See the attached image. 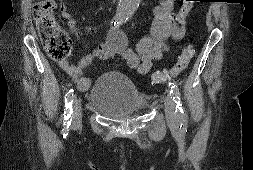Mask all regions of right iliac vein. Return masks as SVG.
<instances>
[{"instance_id": "1", "label": "right iliac vein", "mask_w": 253, "mask_h": 170, "mask_svg": "<svg viewBox=\"0 0 253 170\" xmlns=\"http://www.w3.org/2000/svg\"><path fill=\"white\" fill-rule=\"evenodd\" d=\"M73 114L71 117L72 125L78 126L81 123L82 118V109H81V103L78 98L74 99L73 106H72Z\"/></svg>"}]
</instances>
